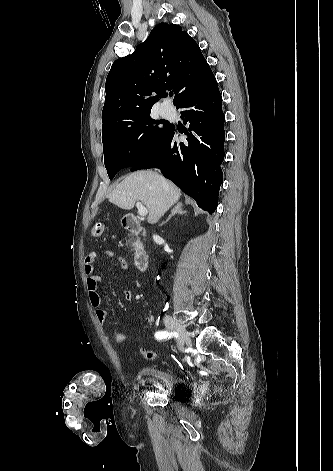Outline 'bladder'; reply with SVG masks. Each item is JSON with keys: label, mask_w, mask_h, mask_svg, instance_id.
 Segmentation results:
<instances>
[{"label": "bladder", "mask_w": 333, "mask_h": 471, "mask_svg": "<svg viewBox=\"0 0 333 471\" xmlns=\"http://www.w3.org/2000/svg\"><path fill=\"white\" fill-rule=\"evenodd\" d=\"M142 377L156 380L164 389L168 398H184L190 395L191 384L179 374L155 365H144L139 368Z\"/></svg>", "instance_id": "31cf9c89"}]
</instances>
